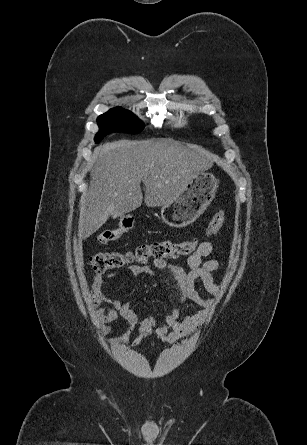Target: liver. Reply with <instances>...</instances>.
I'll return each instance as SVG.
<instances>
[{
    "instance_id": "1",
    "label": "liver",
    "mask_w": 307,
    "mask_h": 445,
    "mask_svg": "<svg viewBox=\"0 0 307 445\" xmlns=\"http://www.w3.org/2000/svg\"><path fill=\"white\" fill-rule=\"evenodd\" d=\"M98 160L79 218V237L88 239L109 216L162 206L177 198L194 174L210 168L214 156L201 146H183L173 138L116 140L97 146ZM141 182L146 190L143 194Z\"/></svg>"
}]
</instances>
